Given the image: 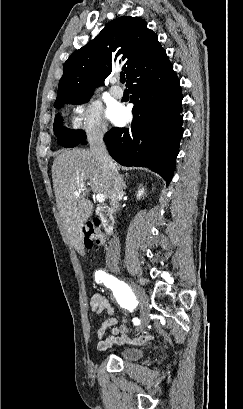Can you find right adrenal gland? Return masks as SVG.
<instances>
[{
    "instance_id": "right-adrenal-gland-1",
    "label": "right adrenal gland",
    "mask_w": 243,
    "mask_h": 409,
    "mask_svg": "<svg viewBox=\"0 0 243 409\" xmlns=\"http://www.w3.org/2000/svg\"><path fill=\"white\" fill-rule=\"evenodd\" d=\"M121 185H122L123 190H125L127 186H126V182H125L123 176H121Z\"/></svg>"
}]
</instances>
